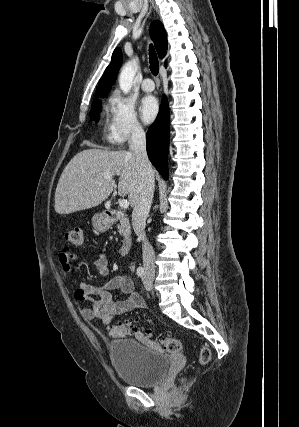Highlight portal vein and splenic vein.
I'll use <instances>...</instances> for the list:
<instances>
[{"label": "portal vein and splenic vein", "mask_w": 299, "mask_h": 427, "mask_svg": "<svg viewBox=\"0 0 299 427\" xmlns=\"http://www.w3.org/2000/svg\"><path fill=\"white\" fill-rule=\"evenodd\" d=\"M104 178H105V179H110V178H112V174H110V173H105V174H104ZM119 206H120L121 208L126 209V208H128V207H129V201H128V200H126V199H121V200L119 201Z\"/></svg>", "instance_id": "portal-vein-and-splenic-vein-1"}]
</instances>
